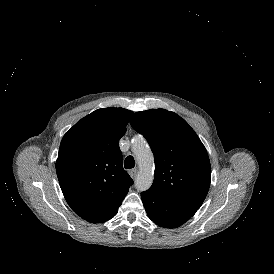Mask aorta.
<instances>
[{
	"mask_svg": "<svg viewBox=\"0 0 274 274\" xmlns=\"http://www.w3.org/2000/svg\"><path fill=\"white\" fill-rule=\"evenodd\" d=\"M132 149L140 168L135 180V187L139 191H146L151 187L154 180L153 152L142 137L134 138Z\"/></svg>",
	"mask_w": 274,
	"mask_h": 274,
	"instance_id": "1",
	"label": "aorta"
}]
</instances>
